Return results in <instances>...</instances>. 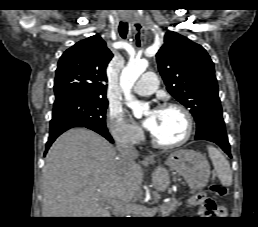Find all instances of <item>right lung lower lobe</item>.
Instances as JSON below:
<instances>
[{"label": "right lung lower lobe", "mask_w": 258, "mask_h": 227, "mask_svg": "<svg viewBox=\"0 0 258 227\" xmlns=\"http://www.w3.org/2000/svg\"><path fill=\"white\" fill-rule=\"evenodd\" d=\"M73 127H86L88 129H91V130L99 133L100 135L105 137L110 142H113V139H112V137L109 134L107 129H105V130L94 129V128H90V127L84 126L83 124H81V123H79L77 121H73V120H70V119H64V118H56V119H52L51 122H50V132H49V138H48V142L46 144L45 152L48 151V149L51 146V144L55 141V139L60 134H62L66 130H68L70 128H73Z\"/></svg>", "instance_id": "obj_1"}]
</instances>
